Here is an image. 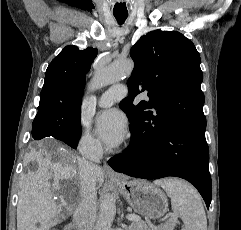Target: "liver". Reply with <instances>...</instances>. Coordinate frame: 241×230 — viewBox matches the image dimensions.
Instances as JSON below:
<instances>
[{
	"mask_svg": "<svg viewBox=\"0 0 241 230\" xmlns=\"http://www.w3.org/2000/svg\"><path fill=\"white\" fill-rule=\"evenodd\" d=\"M84 159L61 144L51 149L40 144L38 151L32 150L25 157V166L35 163V170L21 175L17 204V230H47L55 223L61 207L54 200V192L61 189L60 181L67 180L75 186V195H64V199L77 206L81 200L80 168ZM96 181L101 185L104 174L95 167ZM50 180H53L52 183ZM66 203V202H65ZM40 223L37 228L36 224Z\"/></svg>",
	"mask_w": 241,
	"mask_h": 230,
	"instance_id": "obj_1",
	"label": "liver"
}]
</instances>
